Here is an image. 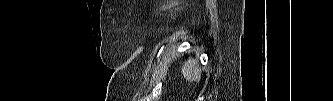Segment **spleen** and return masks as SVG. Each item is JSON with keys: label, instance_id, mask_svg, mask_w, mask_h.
Returning <instances> with one entry per match:
<instances>
[{"label": "spleen", "instance_id": "3e777b00", "mask_svg": "<svg viewBox=\"0 0 333 101\" xmlns=\"http://www.w3.org/2000/svg\"><path fill=\"white\" fill-rule=\"evenodd\" d=\"M182 73L186 80L199 82L201 79V68L198 65V61L190 57L188 61L184 63Z\"/></svg>", "mask_w": 333, "mask_h": 101}]
</instances>
